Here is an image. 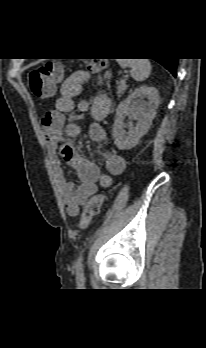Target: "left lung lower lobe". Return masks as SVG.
I'll return each mask as SVG.
<instances>
[{"mask_svg":"<svg viewBox=\"0 0 206 348\" xmlns=\"http://www.w3.org/2000/svg\"><path fill=\"white\" fill-rule=\"evenodd\" d=\"M155 60L163 65L167 70H169L174 77H176L178 58H161Z\"/></svg>","mask_w":206,"mask_h":348,"instance_id":"left-lung-lower-lobe-1","label":"left lung lower lobe"}]
</instances>
